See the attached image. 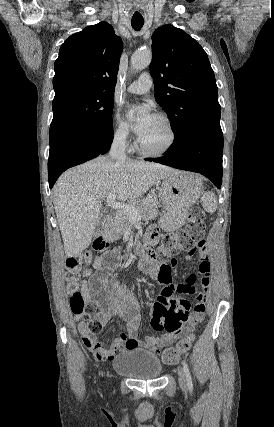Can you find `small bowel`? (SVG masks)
Returning a JSON list of instances; mask_svg holds the SVG:
<instances>
[{
	"mask_svg": "<svg viewBox=\"0 0 274 427\" xmlns=\"http://www.w3.org/2000/svg\"><path fill=\"white\" fill-rule=\"evenodd\" d=\"M158 238L156 226H151L147 233V241L154 244ZM196 252L204 250L203 245L195 247ZM189 255H194V250H189ZM121 254L117 248L110 249L104 254L95 257L92 266L85 267L81 272V285L79 291L86 303L97 307L94 319L102 324H108L114 316L124 319L126 332H122L110 346H106L103 340L95 335H91L87 323L82 315L75 314L78 328L87 348L98 360H113L119 351L131 352L138 349L153 351L161 345H168L173 340L183 335V320H189V311L199 315V322L189 323L185 331H196L197 325L203 320L206 308V294L209 289V274L206 279L199 275H184L182 280H178L174 264H165L160 270V264L153 262L145 264L140 262L139 268L146 272L152 279L158 280L165 285L164 289L156 291L157 299L151 300V311L148 312L150 326L155 327L156 332H169L159 337L147 336L143 340L138 339L137 332L141 323L139 304L131 292L124 286L117 277L110 288L107 287V280L110 272L118 268ZM204 253L201 254L200 263L206 261ZM195 262L194 258L190 259ZM160 270V271H159ZM209 264H201L199 271L209 273ZM161 278H160V277ZM203 280V281H202ZM202 284L203 290L196 295V303L193 301H182L179 294H192L196 291L193 284ZM142 307L148 306L147 300L141 301ZM165 319V320H164Z\"/></svg>",
	"mask_w": 274,
	"mask_h": 427,
	"instance_id": "small-bowel-1",
	"label": "small bowel"
}]
</instances>
